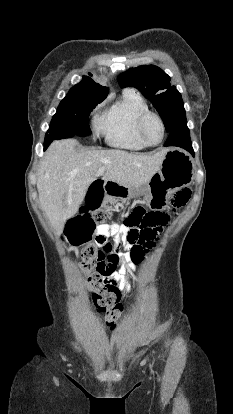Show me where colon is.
<instances>
[{
	"mask_svg": "<svg viewBox=\"0 0 233 414\" xmlns=\"http://www.w3.org/2000/svg\"><path fill=\"white\" fill-rule=\"evenodd\" d=\"M189 198V189L177 192L169 201L175 207H181ZM105 214L102 211L87 212L85 208L81 213L69 220L66 235L70 243L81 246V260L79 268L85 275L86 286L91 292L90 301L97 307L104 306L106 321L114 328L123 315V304L120 294H109L104 289L103 280L95 273V261H98L101 251H127L135 265L141 264L148 249L152 246L154 233L158 232L167 222V216L159 211L146 212L142 208L135 209L125 220L124 229L118 230L115 242L107 241L99 246L91 241L97 223L103 222ZM107 261L108 258H105Z\"/></svg>",
	"mask_w": 233,
	"mask_h": 414,
	"instance_id": "1",
	"label": "colon"
}]
</instances>
